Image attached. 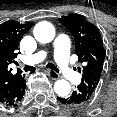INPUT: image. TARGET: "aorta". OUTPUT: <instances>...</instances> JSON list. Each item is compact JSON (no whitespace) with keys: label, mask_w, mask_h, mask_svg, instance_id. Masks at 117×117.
<instances>
[{"label":"aorta","mask_w":117,"mask_h":117,"mask_svg":"<svg viewBox=\"0 0 117 117\" xmlns=\"http://www.w3.org/2000/svg\"><path fill=\"white\" fill-rule=\"evenodd\" d=\"M33 34L38 42L50 43L55 37V28L50 22L42 21L35 25ZM54 91L59 97H66L71 91V85L64 79L57 80Z\"/></svg>","instance_id":"obj_1"}]
</instances>
